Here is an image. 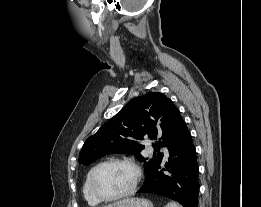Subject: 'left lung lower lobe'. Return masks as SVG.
<instances>
[{"label":"left lung lower lobe","mask_w":261,"mask_h":207,"mask_svg":"<svg viewBox=\"0 0 261 207\" xmlns=\"http://www.w3.org/2000/svg\"><path fill=\"white\" fill-rule=\"evenodd\" d=\"M165 168L161 163L147 175L137 193L162 195L184 207H197L199 168L191 134L183 122L173 144L168 148Z\"/></svg>","instance_id":"1"}]
</instances>
